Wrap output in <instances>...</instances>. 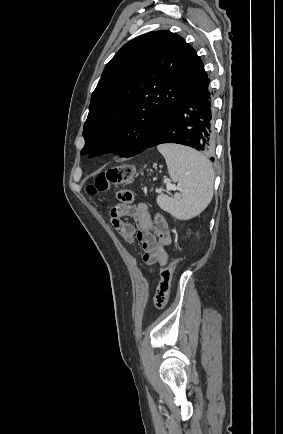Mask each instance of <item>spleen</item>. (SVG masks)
Instances as JSON below:
<instances>
[{
    "label": "spleen",
    "mask_w": 283,
    "mask_h": 434,
    "mask_svg": "<svg viewBox=\"0 0 283 434\" xmlns=\"http://www.w3.org/2000/svg\"><path fill=\"white\" fill-rule=\"evenodd\" d=\"M168 173L178 182L181 194L174 198L157 197L160 208L172 216L186 220L199 215L213 197L214 170L206 157L189 147L163 144L158 146Z\"/></svg>",
    "instance_id": "3e777b00"
}]
</instances>
